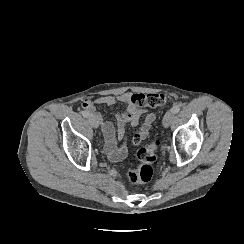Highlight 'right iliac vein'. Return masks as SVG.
Here are the masks:
<instances>
[{
    "label": "right iliac vein",
    "mask_w": 244,
    "mask_h": 244,
    "mask_svg": "<svg viewBox=\"0 0 244 244\" xmlns=\"http://www.w3.org/2000/svg\"><path fill=\"white\" fill-rule=\"evenodd\" d=\"M89 122L93 128L97 129L99 127V121L94 115L89 116Z\"/></svg>",
    "instance_id": "1"
}]
</instances>
